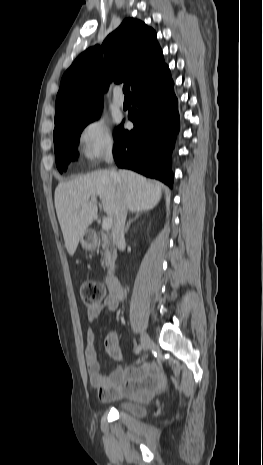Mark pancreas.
I'll return each instance as SVG.
<instances>
[{
    "label": "pancreas",
    "instance_id": "cf45deb5",
    "mask_svg": "<svg viewBox=\"0 0 263 465\" xmlns=\"http://www.w3.org/2000/svg\"><path fill=\"white\" fill-rule=\"evenodd\" d=\"M101 240V247L104 250L101 264L103 267H108L112 265L116 259V250L114 245L111 243L110 238L105 233L101 234Z\"/></svg>",
    "mask_w": 263,
    "mask_h": 465
}]
</instances>
